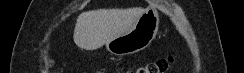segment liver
Segmentation results:
<instances>
[{
	"instance_id": "1",
	"label": "liver",
	"mask_w": 244,
	"mask_h": 73,
	"mask_svg": "<svg viewBox=\"0 0 244 73\" xmlns=\"http://www.w3.org/2000/svg\"><path fill=\"white\" fill-rule=\"evenodd\" d=\"M143 12L140 7L83 12L77 18L74 42L81 49L96 50L128 31Z\"/></svg>"
}]
</instances>
